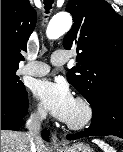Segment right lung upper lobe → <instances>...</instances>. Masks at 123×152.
Listing matches in <instances>:
<instances>
[{"label": "right lung upper lobe", "instance_id": "cb5924a9", "mask_svg": "<svg viewBox=\"0 0 123 152\" xmlns=\"http://www.w3.org/2000/svg\"><path fill=\"white\" fill-rule=\"evenodd\" d=\"M36 18L29 0H1V67L18 68Z\"/></svg>", "mask_w": 123, "mask_h": 152}]
</instances>
